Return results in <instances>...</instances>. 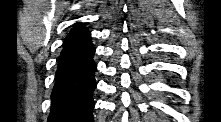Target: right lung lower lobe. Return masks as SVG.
Returning <instances> with one entry per match:
<instances>
[{
  "mask_svg": "<svg viewBox=\"0 0 221 122\" xmlns=\"http://www.w3.org/2000/svg\"><path fill=\"white\" fill-rule=\"evenodd\" d=\"M90 39V32L79 23L67 35L58 60L48 122H93L97 67Z\"/></svg>",
  "mask_w": 221,
  "mask_h": 122,
  "instance_id": "1",
  "label": "right lung lower lobe"
}]
</instances>
